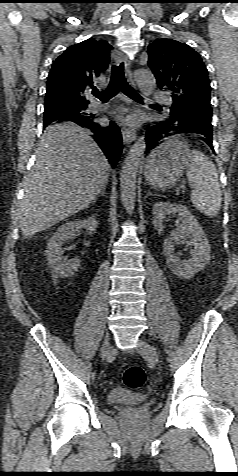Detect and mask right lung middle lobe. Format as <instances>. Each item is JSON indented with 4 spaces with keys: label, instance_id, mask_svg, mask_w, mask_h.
<instances>
[{
    "label": "right lung middle lobe",
    "instance_id": "dd1d6c3e",
    "mask_svg": "<svg viewBox=\"0 0 238 476\" xmlns=\"http://www.w3.org/2000/svg\"><path fill=\"white\" fill-rule=\"evenodd\" d=\"M86 108L85 105L45 103L44 124L91 118L93 115L86 113Z\"/></svg>",
    "mask_w": 238,
    "mask_h": 476
}]
</instances>
